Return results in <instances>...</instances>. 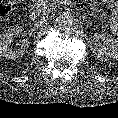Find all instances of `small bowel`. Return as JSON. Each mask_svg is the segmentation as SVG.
<instances>
[{
    "mask_svg": "<svg viewBox=\"0 0 118 118\" xmlns=\"http://www.w3.org/2000/svg\"><path fill=\"white\" fill-rule=\"evenodd\" d=\"M116 7H118V2L116 3Z\"/></svg>",
    "mask_w": 118,
    "mask_h": 118,
    "instance_id": "c3829d8e",
    "label": "small bowel"
}]
</instances>
